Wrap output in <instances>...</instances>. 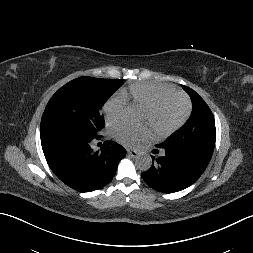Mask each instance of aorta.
Returning a JSON list of instances; mask_svg holds the SVG:
<instances>
[{
	"instance_id": "obj_1",
	"label": "aorta",
	"mask_w": 253,
	"mask_h": 253,
	"mask_svg": "<svg viewBox=\"0 0 253 253\" xmlns=\"http://www.w3.org/2000/svg\"><path fill=\"white\" fill-rule=\"evenodd\" d=\"M124 117L128 123H138L141 119V111L137 106H127L124 111ZM135 165L141 171L149 170L152 165L151 156L145 152L138 154L135 160Z\"/></svg>"
}]
</instances>
